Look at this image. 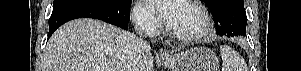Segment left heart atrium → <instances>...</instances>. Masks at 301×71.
Segmentation results:
<instances>
[{"label":"left heart atrium","instance_id":"left-heart-atrium-1","mask_svg":"<svg viewBox=\"0 0 301 71\" xmlns=\"http://www.w3.org/2000/svg\"><path fill=\"white\" fill-rule=\"evenodd\" d=\"M148 6L156 11L171 26L177 17L182 0H146Z\"/></svg>","mask_w":301,"mask_h":71}]
</instances>
